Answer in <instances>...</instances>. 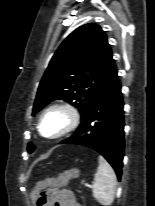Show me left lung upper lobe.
I'll use <instances>...</instances> for the list:
<instances>
[{"label":"left lung upper lobe","instance_id":"1","mask_svg":"<svg viewBox=\"0 0 155 206\" xmlns=\"http://www.w3.org/2000/svg\"><path fill=\"white\" fill-rule=\"evenodd\" d=\"M112 51L102 29L93 23L73 31L59 46L40 82L33 113L62 99L78 107L81 116L116 74ZM32 143L28 152L34 150Z\"/></svg>","mask_w":155,"mask_h":206}]
</instances>
